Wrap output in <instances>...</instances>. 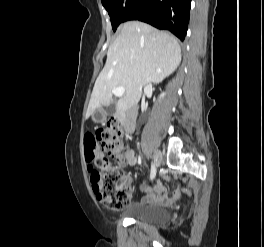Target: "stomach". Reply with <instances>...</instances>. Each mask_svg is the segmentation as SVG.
Masks as SVG:
<instances>
[{"mask_svg":"<svg viewBox=\"0 0 264 247\" xmlns=\"http://www.w3.org/2000/svg\"><path fill=\"white\" fill-rule=\"evenodd\" d=\"M95 113H97L98 114V117H97V121L96 122H98V121H100V120H102V118H103V110L102 109H98V110H96V111H94V113L93 114H95Z\"/></svg>","mask_w":264,"mask_h":247,"instance_id":"stomach-1","label":"stomach"}]
</instances>
